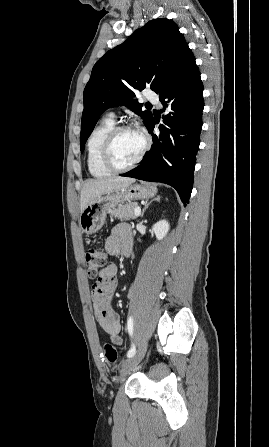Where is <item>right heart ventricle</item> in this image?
<instances>
[{
  "mask_svg": "<svg viewBox=\"0 0 269 447\" xmlns=\"http://www.w3.org/2000/svg\"><path fill=\"white\" fill-rule=\"evenodd\" d=\"M115 126L113 118L107 116L91 132L87 142V166L94 177H105L112 173V170L102 162V148L108 133Z\"/></svg>",
  "mask_w": 269,
  "mask_h": 447,
  "instance_id": "obj_1",
  "label": "right heart ventricle"
}]
</instances>
